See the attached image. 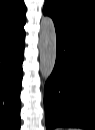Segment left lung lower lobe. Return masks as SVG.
Masks as SVG:
<instances>
[{
	"instance_id": "1",
	"label": "left lung lower lobe",
	"mask_w": 95,
	"mask_h": 130,
	"mask_svg": "<svg viewBox=\"0 0 95 130\" xmlns=\"http://www.w3.org/2000/svg\"><path fill=\"white\" fill-rule=\"evenodd\" d=\"M55 30L57 59L44 96L47 130H95V33L70 22Z\"/></svg>"
}]
</instances>
